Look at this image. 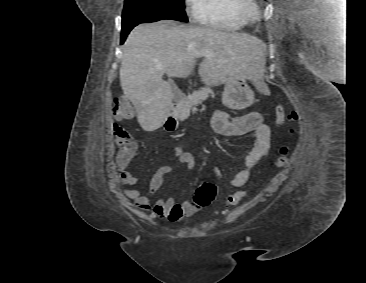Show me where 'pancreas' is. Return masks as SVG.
Listing matches in <instances>:
<instances>
[{
    "label": "pancreas",
    "instance_id": "obj_1",
    "mask_svg": "<svg viewBox=\"0 0 366 283\" xmlns=\"http://www.w3.org/2000/svg\"><path fill=\"white\" fill-rule=\"evenodd\" d=\"M209 94L214 96L210 87H203L199 91H194L178 103L176 107V116L182 121L187 119L190 115L191 108L198 102L207 99Z\"/></svg>",
    "mask_w": 366,
    "mask_h": 283
}]
</instances>
